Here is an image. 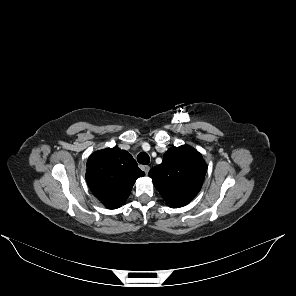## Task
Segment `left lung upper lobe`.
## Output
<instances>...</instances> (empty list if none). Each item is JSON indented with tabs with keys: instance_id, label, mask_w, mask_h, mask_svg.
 Here are the masks:
<instances>
[{
	"instance_id": "obj_1",
	"label": "left lung upper lobe",
	"mask_w": 296,
	"mask_h": 296,
	"mask_svg": "<svg viewBox=\"0 0 296 296\" xmlns=\"http://www.w3.org/2000/svg\"><path fill=\"white\" fill-rule=\"evenodd\" d=\"M207 166L201 154L188 145L169 148L149 176L171 208L185 206L200 191Z\"/></svg>"
}]
</instances>
